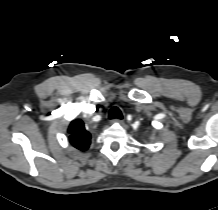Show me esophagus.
Returning a JSON list of instances; mask_svg holds the SVG:
<instances>
[{"instance_id": "1", "label": "esophagus", "mask_w": 218, "mask_h": 210, "mask_svg": "<svg viewBox=\"0 0 218 210\" xmlns=\"http://www.w3.org/2000/svg\"><path fill=\"white\" fill-rule=\"evenodd\" d=\"M113 123L123 124V120L115 119V120H113Z\"/></svg>"}]
</instances>
